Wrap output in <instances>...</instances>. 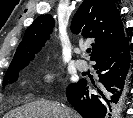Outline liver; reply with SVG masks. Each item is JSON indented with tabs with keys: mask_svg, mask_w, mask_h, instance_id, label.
<instances>
[{
	"mask_svg": "<svg viewBox=\"0 0 133 118\" xmlns=\"http://www.w3.org/2000/svg\"><path fill=\"white\" fill-rule=\"evenodd\" d=\"M4 118H80V115L56 102L35 101L12 110Z\"/></svg>",
	"mask_w": 133,
	"mask_h": 118,
	"instance_id": "liver-1",
	"label": "liver"
}]
</instances>
